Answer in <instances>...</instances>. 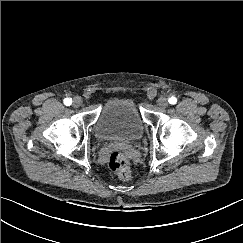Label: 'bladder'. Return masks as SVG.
I'll list each match as a JSON object with an SVG mask.
<instances>
[{"mask_svg": "<svg viewBox=\"0 0 243 243\" xmlns=\"http://www.w3.org/2000/svg\"><path fill=\"white\" fill-rule=\"evenodd\" d=\"M94 131L99 141H118L129 144L142 137L144 124L133 100L111 98L102 105Z\"/></svg>", "mask_w": 243, "mask_h": 243, "instance_id": "bladder-1", "label": "bladder"}]
</instances>
